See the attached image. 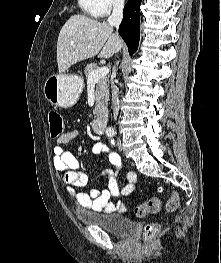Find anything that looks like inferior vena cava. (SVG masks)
Returning a JSON list of instances; mask_svg holds the SVG:
<instances>
[{
    "mask_svg": "<svg viewBox=\"0 0 221 263\" xmlns=\"http://www.w3.org/2000/svg\"><path fill=\"white\" fill-rule=\"evenodd\" d=\"M123 7L124 0H114V6L112 14L108 17V24L111 27L118 28L123 17ZM118 88L116 86L113 87L112 90V104H113V113L115 120L117 119L119 112V97H118Z\"/></svg>",
    "mask_w": 221,
    "mask_h": 263,
    "instance_id": "obj_1",
    "label": "inferior vena cava"
}]
</instances>
